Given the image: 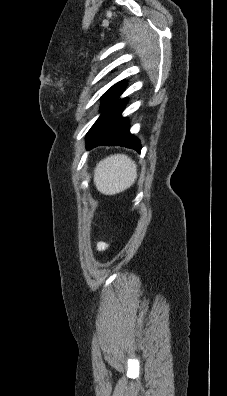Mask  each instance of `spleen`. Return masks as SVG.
I'll return each instance as SVG.
<instances>
[{
  "label": "spleen",
  "instance_id": "obj_1",
  "mask_svg": "<svg viewBox=\"0 0 227 396\" xmlns=\"http://www.w3.org/2000/svg\"><path fill=\"white\" fill-rule=\"evenodd\" d=\"M137 178L136 164L124 154L111 155L101 160L94 172V183L99 192L105 195L120 193Z\"/></svg>",
  "mask_w": 227,
  "mask_h": 396
}]
</instances>
